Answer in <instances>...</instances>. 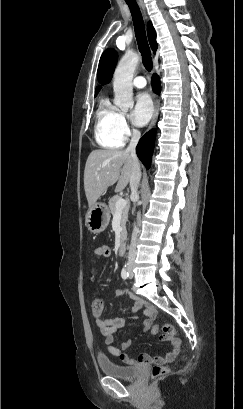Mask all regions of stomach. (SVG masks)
<instances>
[{"label":"stomach","instance_id":"obj_1","mask_svg":"<svg viewBox=\"0 0 243 409\" xmlns=\"http://www.w3.org/2000/svg\"><path fill=\"white\" fill-rule=\"evenodd\" d=\"M110 221V212L103 203H95L89 207L85 216V225L92 233H100L106 229Z\"/></svg>","mask_w":243,"mask_h":409}]
</instances>
